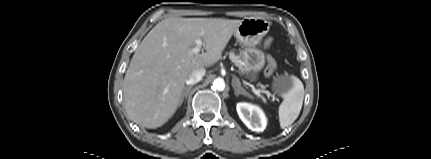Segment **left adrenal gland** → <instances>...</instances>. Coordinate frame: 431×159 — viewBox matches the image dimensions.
<instances>
[{"label": "left adrenal gland", "mask_w": 431, "mask_h": 159, "mask_svg": "<svg viewBox=\"0 0 431 159\" xmlns=\"http://www.w3.org/2000/svg\"><path fill=\"white\" fill-rule=\"evenodd\" d=\"M232 86H233V89H234V94L236 96L242 94V95H246L248 97H251V95L241 87V83H240V81H239V79L237 77L233 78V80H232Z\"/></svg>", "instance_id": "obj_1"}]
</instances>
